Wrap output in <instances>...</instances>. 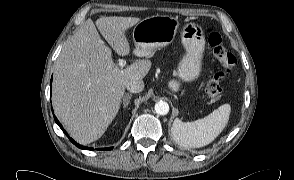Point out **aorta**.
<instances>
[{
  "label": "aorta",
  "instance_id": "obj_1",
  "mask_svg": "<svg viewBox=\"0 0 294 180\" xmlns=\"http://www.w3.org/2000/svg\"><path fill=\"white\" fill-rule=\"evenodd\" d=\"M155 112L158 115H166L169 112V105L165 101H159L155 104Z\"/></svg>",
  "mask_w": 294,
  "mask_h": 180
}]
</instances>
